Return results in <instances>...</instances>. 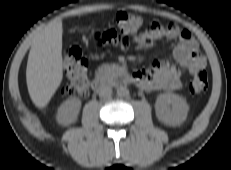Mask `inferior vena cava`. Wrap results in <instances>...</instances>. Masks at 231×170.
I'll list each match as a JSON object with an SVG mask.
<instances>
[{
    "instance_id": "602c4592",
    "label": "inferior vena cava",
    "mask_w": 231,
    "mask_h": 170,
    "mask_svg": "<svg viewBox=\"0 0 231 170\" xmlns=\"http://www.w3.org/2000/svg\"><path fill=\"white\" fill-rule=\"evenodd\" d=\"M112 95V88L110 86H104L99 91L101 98H109Z\"/></svg>"
}]
</instances>
